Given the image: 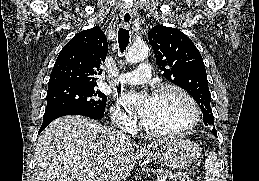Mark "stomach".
<instances>
[{"mask_svg":"<svg viewBox=\"0 0 259 181\" xmlns=\"http://www.w3.org/2000/svg\"><path fill=\"white\" fill-rule=\"evenodd\" d=\"M148 155H153L169 168L184 169L198 160L200 148L195 142L187 139H170L164 142L160 150Z\"/></svg>","mask_w":259,"mask_h":181,"instance_id":"stomach-1","label":"stomach"}]
</instances>
